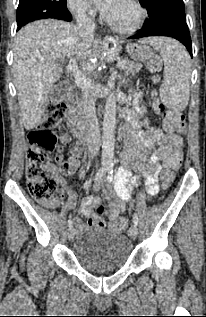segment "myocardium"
Listing matches in <instances>:
<instances>
[{
  "label": "myocardium",
  "instance_id": "myocardium-1",
  "mask_svg": "<svg viewBox=\"0 0 206 317\" xmlns=\"http://www.w3.org/2000/svg\"><path fill=\"white\" fill-rule=\"evenodd\" d=\"M128 2L136 9L137 11V18L136 20L127 25V26H121V25H117L114 22H112L111 20H109L108 18H104L105 22L107 24V26L120 34H131L135 31H137L138 29L141 28V26L144 24L145 19L147 17V11L145 10V8L143 7V5L138 1V0H128Z\"/></svg>",
  "mask_w": 206,
  "mask_h": 317
}]
</instances>
